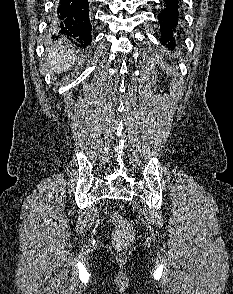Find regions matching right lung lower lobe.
I'll list each match as a JSON object with an SVG mask.
<instances>
[{"label": "right lung lower lobe", "instance_id": "obj_1", "mask_svg": "<svg viewBox=\"0 0 233 294\" xmlns=\"http://www.w3.org/2000/svg\"><path fill=\"white\" fill-rule=\"evenodd\" d=\"M88 0H59L51 22V30L79 47L91 43Z\"/></svg>", "mask_w": 233, "mask_h": 294}]
</instances>
